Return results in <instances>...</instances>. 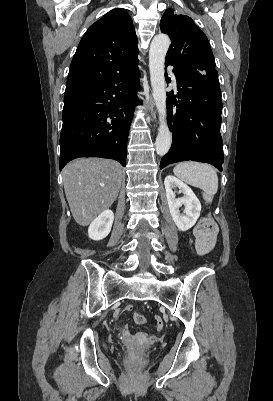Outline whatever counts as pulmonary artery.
<instances>
[{"label":"pulmonary artery","instance_id":"obj_1","mask_svg":"<svg viewBox=\"0 0 273 401\" xmlns=\"http://www.w3.org/2000/svg\"><path fill=\"white\" fill-rule=\"evenodd\" d=\"M166 70H167L168 72H173V71L175 70V65H174L173 63H168V64L166 65ZM172 81H173L174 83L176 82L175 76H172Z\"/></svg>","mask_w":273,"mask_h":401}]
</instances>
